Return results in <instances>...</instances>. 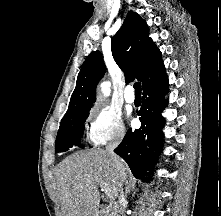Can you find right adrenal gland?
<instances>
[{
	"mask_svg": "<svg viewBox=\"0 0 221 216\" xmlns=\"http://www.w3.org/2000/svg\"><path fill=\"white\" fill-rule=\"evenodd\" d=\"M128 191H129V190H128V187H126V194L128 193Z\"/></svg>",
	"mask_w": 221,
	"mask_h": 216,
	"instance_id": "obj_1",
	"label": "right adrenal gland"
}]
</instances>
